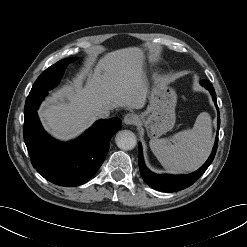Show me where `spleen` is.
I'll use <instances>...</instances> for the list:
<instances>
[{
    "label": "spleen",
    "mask_w": 247,
    "mask_h": 247,
    "mask_svg": "<svg viewBox=\"0 0 247 247\" xmlns=\"http://www.w3.org/2000/svg\"><path fill=\"white\" fill-rule=\"evenodd\" d=\"M212 147L211 117L207 112L198 115L192 129L181 131L171 139L150 140L154 155L167 171L173 173L199 168L209 157Z\"/></svg>",
    "instance_id": "obj_1"
}]
</instances>
